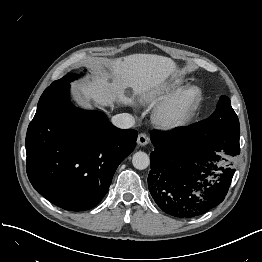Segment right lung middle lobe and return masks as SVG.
<instances>
[{
	"label": "right lung middle lobe",
	"instance_id": "1",
	"mask_svg": "<svg viewBox=\"0 0 262 262\" xmlns=\"http://www.w3.org/2000/svg\"><path fill=\"white\" fill-rule=\"evenodd\" d=\"M76 78H77V75L68 74L64 76L63 78L54 81L50 86H53V87L63 86L65 84H69V82L73 81Z\"/></svg>",
	"mask_w": 262,
	"mask_h": 262
}]
</instances>
